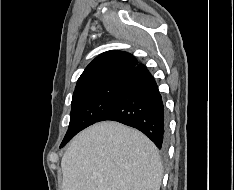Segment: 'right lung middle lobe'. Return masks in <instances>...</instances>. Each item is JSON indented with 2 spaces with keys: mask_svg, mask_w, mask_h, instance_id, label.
I'll list each match as a JSON object with an SVG mask.
<instances>
[{
  "mask_svg": "<svg viewBox=\"0 0 234 190\" xmlns=\"http://www.w3.org/2000/svg\"><path fill=\"white\" fill-rule=\"evenodd\" d=\"M123 83L124 79L121 78L74 92L69 128L60 147L78 132L100 120L115 102Z\"/></svg>",
  "mask_w": 234,
  "mask_h": 190,
  "instance_id": "obj_1",
  "label": "right lung middle lobe"
}]
</instances>
